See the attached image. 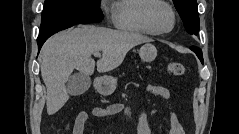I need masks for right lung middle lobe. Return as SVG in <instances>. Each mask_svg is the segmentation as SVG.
Segmentation results:
<instances>
[{"mask_svg":"<svg viewBox=\"0 0 239 134\" xmlns=\"http://www.w3.org/2000/svg\"><path fill=\"white\" fill-rule=\"evenodd\" d=\"M100 0H45L38 38L63 28L101 22Z\"/></svg>","mask_w":239,"mask_h":134,"instance_id":"obj_1","label":"right lung middle lobe"}]
</instances>
